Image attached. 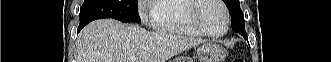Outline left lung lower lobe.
<instances>
[{
    "label": "left lung lower lobe",
    "mask_w": 331,
    "mask_h": 62,
    "mask_svg": "<svg viewBox=\"0 0 331 62\" xmlns=\"http://www.w3.org/2000/svg\"><path fill=\"white\" fill-rule=\"evenodd\" d=\"M231 27L235 32L241 34L245 39H247L245 29H243L241 26H237L234 22L231 23Z\"/></svg>",
    "instance_id": "0a47b994"
}]
</instances>
